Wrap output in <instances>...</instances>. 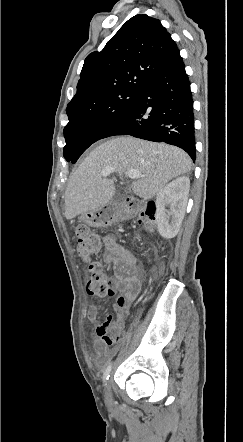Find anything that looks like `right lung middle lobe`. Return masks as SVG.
<instances>
[{"label": "right lung middle lobe", "mask_w": 243, "mask_h": 442, "mask_svg": "<svg viewBox=\"0 0 243 442\" xmlns=\"http://www.w3.org/2000/svg\"><path fill=\"white\" fill-rule=\"evenodd\" d=\"M139 91H124L108 96L88 109L72 113L64 128L66 146L63 155L75 163L80 155L125 113Z\"/></svg>", "instance_id": "1"}]
</instances>
